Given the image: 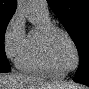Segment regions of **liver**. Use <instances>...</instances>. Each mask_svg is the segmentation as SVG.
Wrapping results in <instances>:
<instances>
[{
    "mask_svg": "<svg viewBox=\"0 0 89 89\" xmlns=\"http://www.w3.org/2000/svg\"><path fill=\"white\" fill-rule=\"evenodd\" d=\"M62 84L49 83L37 77L24 74H2L0 76L1 89H60ZM69 89H82L78 86H69Z\"/></svg>",
    "mask_w": 89,
    "mask_h": 89,
    "instance_id": "1",
    "label": "liver"
}]
</instances>
